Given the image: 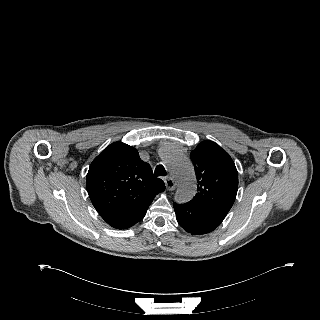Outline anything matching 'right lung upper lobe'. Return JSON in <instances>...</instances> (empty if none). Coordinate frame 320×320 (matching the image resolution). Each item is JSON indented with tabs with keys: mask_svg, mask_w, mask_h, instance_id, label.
Listing matches in <instances>:
<instances>
[{
	"mask_svg": "<svg viewBox=\"0 0 320 320\" xmlns=\"http://www.w3.org/2000/svg\"><path fill=\"white\" fill-rule=\"evenodd\" d=\"M86 187L95 209L109 224L146 213L154 197L165 190L137 149L110 144L90 165Z\"/></svg>",
	"mask_w": 320,
	"mask_h": 320,
	"instance_id": "cb5924a9",
	"label": "right lung upper lobe"
}]
</instances>
